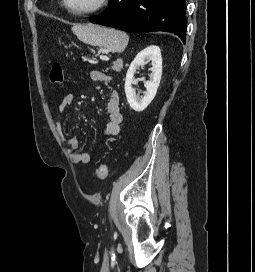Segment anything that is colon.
I'll return each instance as SVG.
<instances>
[{
	"label": "colon",
	"mask_w": 255,
	"mask_h": 272,
	"mask_svg": "<svg viewBox=\"0 0 255 272\" xmlns=\"http://www.w3.org/2000/svg\"><path fill=\"white\" fill-rule=\"evenodd\" d=\"M49 79L52 84L61 85L64 81L63 76V69L61 64L54 63L51 66L50 73H49ZM109 170L106 164L101 163L98 165L96 169V175L99 179H106L108 176Z\"/></svg>",
	"instance_id": "5ec220e1"
}]
</instances>
